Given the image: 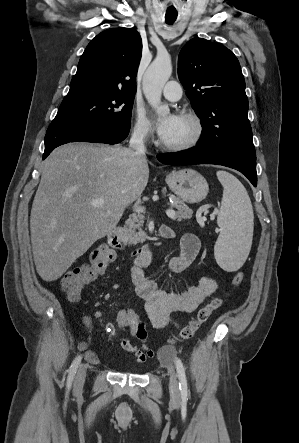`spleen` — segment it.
<instances>
[{
	"label": "spleen",
	"mask_w": 299,
	"mask_h": 443,
	"mask_svg": "<svg viewBox=\"0 0 299 443\" xmlns=\"http://www.w3.org/2000/svg\"><path fill=\"white\" fill-rule=\"evenodd\" d=\"M216 175L224 190L217 217L221 232L214 256L222 269L233 272L241 268L251 248L253 208L245 187L235 176L226 171H218Z\"/></svg>",
	"instance_id": "spleen-1"
}]
</instances>
